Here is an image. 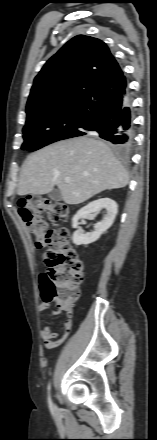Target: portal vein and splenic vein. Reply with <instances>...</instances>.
Here are the masks:
<instances>
[{"label":"portal vein and splenic vein","instance_id":"18ae733b","mask_svg":"<svg viewBox=\"0 0 157 440\" xmlns=\"http://www.w3.org/2000/svg\"><path fill=\"white\" fill-rule=\"evenodd\" d=\"M65 182H66V183H69V182H70V179H69V178L65 179Z\"/></svg>","mask_w":157,"mask_h":440}]
</instances>
